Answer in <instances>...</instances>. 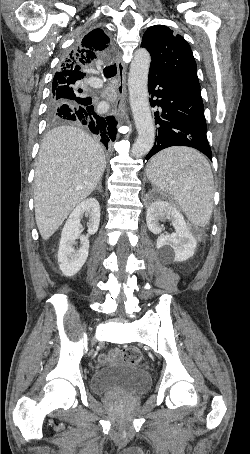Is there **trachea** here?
<instances>
[{
  "mask_svg": "<svg viewBox=\"0 0 250 454\" xmlns=\"http://www.w3.org/2000/svg\"><path fill=\"white\" fill-rule=\"evenodd\" d=\"M116 74H117V66H116V64H113V65L105 67L104 76L106 78L114 77Z\"/></svg>",
  "mask_w": 250,
  "mask_h": 454,
  "instance_id": "3493384b",
  "label": "trachea"
}]
</instances>
